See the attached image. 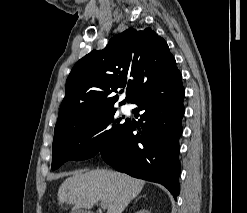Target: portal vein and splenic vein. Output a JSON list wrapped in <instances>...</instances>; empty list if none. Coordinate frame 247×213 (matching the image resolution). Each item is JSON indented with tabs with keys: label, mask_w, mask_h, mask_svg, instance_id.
Segmentation results:
<instances>
[{
	"label": "portal vein and splenic vein",
	"mask_w": 247,
	"mask_h": 213,
	"mask_svg": "<svg viewBox=\"0 0 247 213\" xmlns=\"http://www.w3.org/2000/svg\"><path fill=\"white\" fill-rule=\"evenodd\" d=\"M100 206H101L102 208H105V202H100Z\"/></svg>",
	"instance_id": "obj_1"
}]
</instances>
